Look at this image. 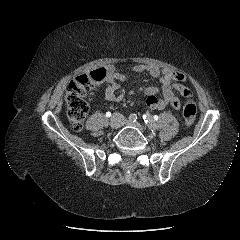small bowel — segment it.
Segmentation results:
<instances>
[{
    "label": "small bowel",
    "mask_w": 240,
    "mask_h": 240,
    "mask_svg": "<svg viewBox=\"0 0 240 240\" xmlns=\"http://www.w3.org/2000/svg\"><path fill=\"white\" fill-rule=\"evenodd\" d=\"M105 70V82L108 84V87L105 90L104 99L109 102H119L123 97L120 82L127 81L130 76L119 73L112 64L108 65ZM131 72L135 76L148 73L154 78H160V87L149 86L145 89L146 104L150 109L162 110L170 106L179 110L181 103L175 96L174 90L180 92L185 98L192 95V92L182 84L184 75L179 72L170 69H161L153 64L136 65L132 68ZM159 93L162 94V98L157 97Z\"/></svg>",
    "instance_id": "small-bowel-1"
}]
</instances>
